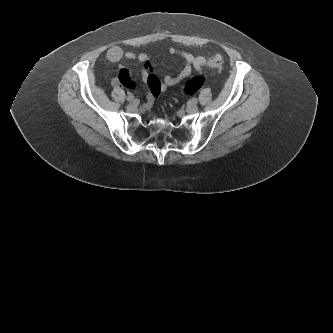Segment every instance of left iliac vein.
Instances as JSON below:
<instances>
[{
	"label": "left iliac vein",
	"instance_id": "obj_1",
	"mask_svg": "<svg viewBox=\"0 0 333 333\" xmlns=\"http://www.w3.org/2000/svg\"><path fill=\"white\" fill-rule=\"evenodd\" d=\"M198 111V106L195 103H190L186 107V112L187 113H196Z\"/></svg>",
	"mask_w": 333,
	"mask_h": 333
}]
</instances>
